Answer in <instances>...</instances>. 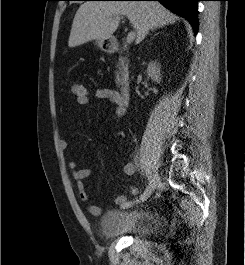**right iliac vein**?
<instances>
[{
	"label": "right iliac vein",
	"instance_id": "obj_1",
	"mask_svg": "<svg viewBox=\"0 0 245 265\" xmlns=\"http://www.w3.org/2000/svg\"><path fill=\"white\" fill-rule=\"evenodd\" d=\"M159 180H160V177L158 175L157 172H155L153 175H152V184H151V187H150V192H149V196L151 195V193L156 189L158 183H159Z\"/></svg>",
	"mask_w": 245,
	"mask_h": 265
}]
</instances>
